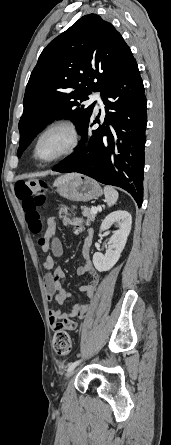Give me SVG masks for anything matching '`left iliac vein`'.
<instances>
[{
	"mask_svg": "<svg viewBox=\"0 0 171 445\" xmlns=\"http://www.w3.org/2000/svg\"><path fill=\"white\" fill-rule=\"evenodd\" d=\"M74 369L68 372V375H70L71 373H73Z\"/></svg>",
	"mask_w": 171,
	"mask_h": 445,
	"instance_id": "left-iliac-vein-1",
	"label": "left iliac vein"
}]
</instances>
